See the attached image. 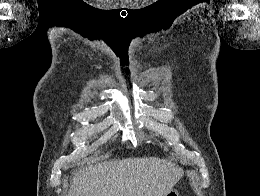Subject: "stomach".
Segmentation results:
<instances>
[{"label": "stomach", "mask_w": 260, "mask_h": 196, "mask_svg": "<svg viewBox=\"0 0 260 196\" xmlns=\"http://www.w3.org/2000/svg\"><path fill=\"white\" fill-rule=\"evenodd\" d=\"M161 196H181V191H169V193H161Z\"/></svg>", "instance_id": "obj_1"}]
</instances>
